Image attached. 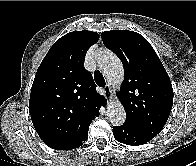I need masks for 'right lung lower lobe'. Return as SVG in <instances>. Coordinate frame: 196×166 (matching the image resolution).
<instances>
[{"instance_id":"1","label":"right lung lower lobe","mask_w":196,"mask_h":166,"mask_svg":"<svg viewBox=\"0 0 196 166\" xmlns=\"http://www.w3.org/2000/svg\"><path fill=\"white\" fill-rule=\"evenodd\" d=\"M88 138V135L81 140H67V139H56L44 141L46 145L56 150H71L80 147L84 141Z\"/></svg>"}]
</instances>
